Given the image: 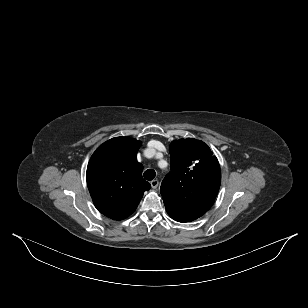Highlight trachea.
Returning a JSON list of instances; mask_svg holds the SVG:
<instances>
[{
  "label": "trachea",
  "instance_id": "trachea-1",
  "mask_svg": "<svg viewBox=\"0 0 308 308\" xmlns=\"http://www.w3.org/2000/svg\"><path fill=\"white\" fill-rule=\"evenodd\" d=\"M156 172L153 169H148L144 172V178L148 181H151L155 178Z\"/></svg>",
  "mask_w": 308,
  "mask_h": 308
}]
</instances>
